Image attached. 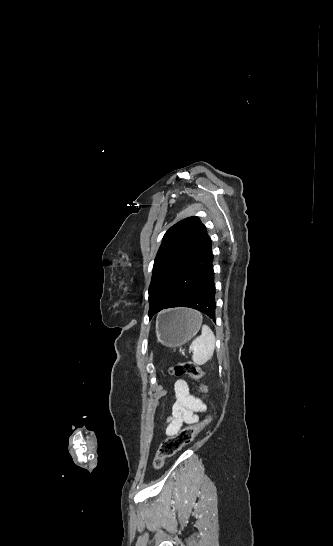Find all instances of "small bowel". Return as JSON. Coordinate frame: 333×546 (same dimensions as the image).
Returning <instances> with one entry per match:
<instances>
[{"label": "small bowel", "instance_id": "c3829d8e", "mask_svg": "<svg viewBox=\"0 0 333 546\" xmlns=\"http://www.w3.org/2000/svg\"><path fill=\"white\" fill-rule=\"evenodd\" d=\"M174 393L176 400L165 427L167 436L176 434L184 424L196 423L199 420V413L205 410V406L191 395L185 380L177 379L175 381Z\"/></svg>", "mask_w": 333, "mask_h": 546}]
</instances>
